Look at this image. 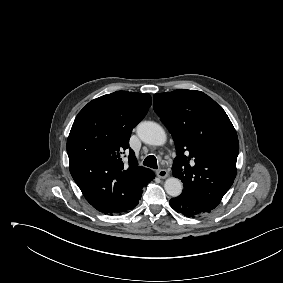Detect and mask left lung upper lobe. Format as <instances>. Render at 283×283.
I'll return each instance as SVG.
<instances>
[{"instance_id": "5c2ea615", "label": "left lung upper lobe", "mask_w": 283, "mask_h": 283, "mask_svg": "<svg viewBox=\"0 0 283 283\" xmlns=\"http://www.w3.org/2000/svg\"><path fill=\"white\" fill-rule=\"evenodd\" d=\"M154 111L176 145L172 174L184 192L215 208L236 177L239 143L221 106L201 91L179 89L153 97Z\"/></svg>"}]
</instances>
